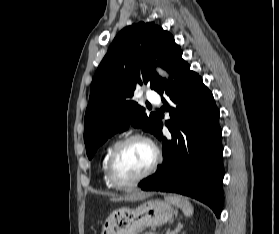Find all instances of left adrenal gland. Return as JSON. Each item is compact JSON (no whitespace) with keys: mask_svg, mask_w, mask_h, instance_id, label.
<instances>
[{"mask_svg":"<svg viewBox=\"0 0 279 234\" xmlns=\"http://www.w3.org/2000/svg\"><path fill=\"white\" fill-rule=\"evenodd\" d=\"M183 225L178 222L176 228L174 230H171V228H168L166 234H178L179 231L182 229Z\"/></svg>","mask_w":279,"mask_h":234,"instance_id":"1","label":"left adrenal gland"}]
</instances>
